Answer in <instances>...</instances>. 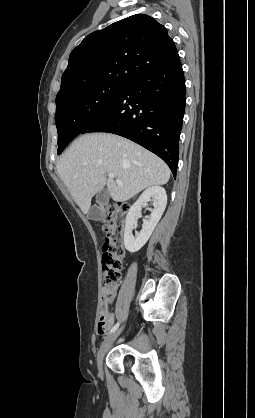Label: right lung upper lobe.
<instances>
[{"instance_id":"1","label":"right lung upper lobe","mask_w":255,"mask_h":418,"mask_svg":"<svg viewBox=\"0 0 255 418\" xmlns=\"http://www.w3.org/2000/svg\"><path fill=\"white\" fill-rule=\"evenodd\" d=\"M178 60L166 28L148 15L136 14L83 39L69 56L57 95L97 82L129 84Z\"/></svg>"}]
</instances>
